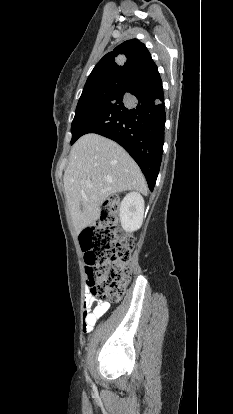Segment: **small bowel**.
<instances>
[{
	"label": "small bowel",
	"mask_w": 233,
	"mask_h": 414,
	"mask_svg": "<svg viewBox=\"0 0 233 414\" xmlns=\"http://www.w3.org/2000/svg\"><path fill=\"white\" fill-rule=\"evenodd\" d=\"M85 292L87 294L84 297L83 330L85 333H89L93 330L98 319L108 311L110 304L107 301H100L96 306H93L95 299L89 294L91 289L86 288Z\"/></svg>",
	"instance_id": "obj_1"
}]
</instances>
